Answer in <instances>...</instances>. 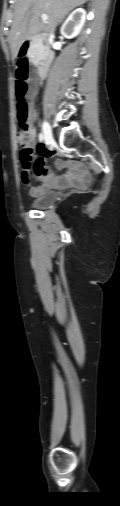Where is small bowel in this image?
<instances>
[{
	"label": "small bowel",
	"instance_id": "small-bowel-1",
	"mask_svg": "<svg viewBox=\"0 0 120 506\" xmlns=\"http://www.w3.org/2000/svg\"><path fill=\"white\" fill-rule=\"evenodd\" d=\"M31 118L34 120L35 113L32 111ZM33 136H36V130L32 126L31 129ZM49 150L44 147L42 143L38 145V157H33L22 167V182L29 187L30 195L39 196L45 193L48 189L53 187L60 188H77L83 186L90 178L89 173L81 164L67 163L63 161L58 162V166L67 168L68 173L63 176H55L51 173L46 165L45 159L49 157ZM21 161V160H20ZM22 166V162H21ZM34 172L36 177L41 181L40 184L32 185L30 183V174Z\"/></svg>",
	"mask_w": 120,
	"mask_h": 506
}]
</instances>
